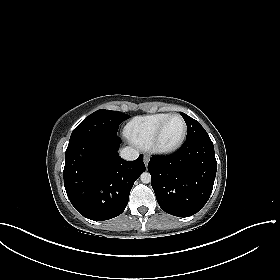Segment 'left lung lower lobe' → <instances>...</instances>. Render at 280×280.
Returning a JSON list of instances; mask_svg holds the SVG:
<instances>
[{
	"label": "left lung lower lobe",
	"mask_w": 280,
	"mask_h": 280,
	"mask_svg": "<svg viewBox=\"0 0 280 280\" xmlns=\"http://www.w3.org/2000/svg\"><path fill=\"white\" fill-rule=\"evenodd\" d=\"M216 170L209 136L186 139L175 153L153 156L148 164L158 204L178 217H188L202 209L212 192Z\"/></svg>",
	"instance_id": "obj_1"
}]
</instances>
